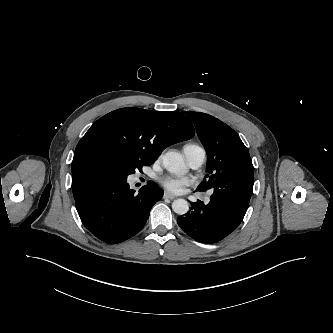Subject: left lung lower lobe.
Instances as JSON below:
<instances>
[{
  "mask_svg": "<svg viewBox=\"0 0 333 333\" xmlns=\"http://www.w3.org/2000/svg\"><path fill=\"white\" fill-rule=\"evenodd\" d=\"M235 168L221 173L207 205L198 200L187 214L178 217V225L193 239L207 244L219 242L243 220L253 191L254 167L249 159Z\"/></svg>",
  "mask_w": 333,
  "mask_h": 333,
  "instance_id": "left-lung-lower-lobe-1",
  "label": "left lung lower lobe"
}]
</instances>
